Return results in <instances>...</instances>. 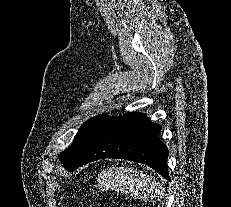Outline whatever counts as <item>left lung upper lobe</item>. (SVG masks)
<instances>
[{"mask_svg": "<svg viewBox=\"0 0 231 207\" xmlns=\"http://www.w3.org/2000/svg\"><path fill=\"white\" fill-rule=\"evenodd\" d=\"M108 118L107 114H101L87 120L77 132L73 145L60 153L58 157L68 171L80 162Z\"/></svg>", "mask_w": 231, "mask_h": 207, "instance_id": "left-lung-upper-lobe-1", "label": "left lung upper lobe"}]
</instances>
